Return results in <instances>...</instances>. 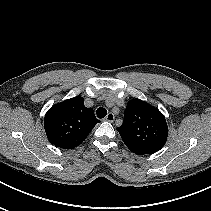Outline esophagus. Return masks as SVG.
I'll return each mask as SVG.
<instances>
[{
  "label": "esophagus",
  "instance_id": "esophagus-1",
  "mask_svg": "<svg viewBox=\"0 0 211 211\" xmlns=\"http://www.w3.org/2000/svg\"><path fill=\"white\" fill-rule=\"evenodd\" d=\"M115 119V116L113 113H108L107 116L105 117V120L108 122H113Z\"/></svg>",
  "mask_w": 211,
  "mask_h": 211
}]
</instances>
